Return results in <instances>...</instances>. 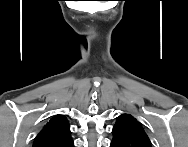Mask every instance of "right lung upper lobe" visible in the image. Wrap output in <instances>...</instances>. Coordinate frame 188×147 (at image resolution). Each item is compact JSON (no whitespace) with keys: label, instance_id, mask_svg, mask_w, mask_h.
Segmentation results:
<instances>
[{"label":"right lung upper lobe","instance_id":"obj_1","mask_svg":"<svg viewBox=\"0 0 188 147\" xmlns=\"http://www.w3.org/2000/svg\"><path fill=\"white\" fill-rule=\"evenodd\" d=\"M69 123L62 115L53 116L34 140L33 147H73Z\"/></svg>","mask_w":188,"mask_h":147}]
</instances>
